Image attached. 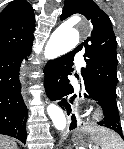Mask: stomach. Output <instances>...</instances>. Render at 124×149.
<instances>
[{"instance_id":"0dacf381","label":"stomach","mask_w":124,"mask_h":149,"mask_svg":"<svg viewBox=\"0 0 124 149\" xmlns=\"http://www.w3.org/2000/svg\"><path fill=\"white\" fill-rule=\"evenodd\" d=\"M98 135L107 137L116 136L113 132L107 129L81 127L74 133L73 141L80 146L90 147L89 149H98L97 146L100 145L97 140Z\"/></svg>"}]
</instances>
